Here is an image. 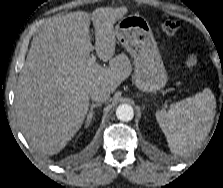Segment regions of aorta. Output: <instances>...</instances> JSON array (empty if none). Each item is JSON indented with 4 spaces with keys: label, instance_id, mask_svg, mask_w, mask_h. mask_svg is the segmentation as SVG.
Instances as JSON below:
<instances>
[{
    "label": "aorta",
    "instance_id": "aorta-1",
    "mask_svg": "<svg viewBox=\"0 0 223 188\" xmlns=\"http://www.w3.org/2000/svg\"><path fill=\"white\" fill-rule=\"evenodd\" d=\"M116 116L119 120L128 122L133 119V108L128 104H121L116 109Z\"/></svg>",
    "mask_w": 223,
    "mask_h": 188
}]
</instances>
